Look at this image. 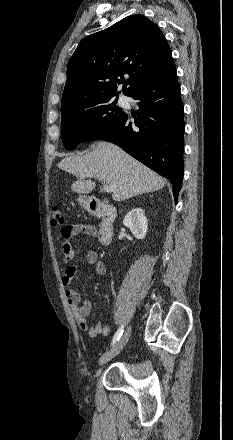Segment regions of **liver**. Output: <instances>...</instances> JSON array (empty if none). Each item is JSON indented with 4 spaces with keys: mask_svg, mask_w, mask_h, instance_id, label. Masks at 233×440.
I'll return each instance as SVG.
<instances>
[{
    "mask_svg": "<svg viewBox=\"0 0 233 440\" xmlns=\"http://www.w3.org/2000/svg\"><path fill=\"white\" fill-rule=\"evenodd\" d=\"M58 167L77 180L71 185L73 192L91 193L95 182L82 175H90L113 187L112 199L123 201L133 196L162 189L166 180L128 155L117 145L98 142L83 156H69L58 163Z\"/></svg>",
    "mask_w": 233,
    "mask_h": 440,
    "instance_id": "liver-1",
    "label": "liver"
}]
</instances>
